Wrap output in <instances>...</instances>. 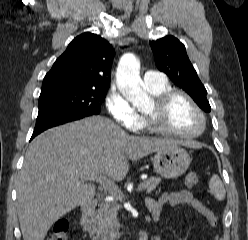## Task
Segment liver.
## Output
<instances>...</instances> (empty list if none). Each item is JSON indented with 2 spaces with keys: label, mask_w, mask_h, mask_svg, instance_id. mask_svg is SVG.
I'll return each mask as SVG.
<instances>
[{
  "label": "liver",
  "mask_w": 248,
  "mask_h": 240,
  "mask_svg": "<svg viewBox=\"0 0 248 240\" xmlns=\"http://www.w3.org/2000/svg\"><path fill=\"white\" fill-rule=\"evenodd\" d=\"M170 139L132 136L109 119L94 116L54 127L29 145L17 186V213L24 240H44L60 217L90 202L89 174L123 180L129 159L177 145Z\"/></svg>",
  "instance_id": "obj_1"
}]
</instances>
